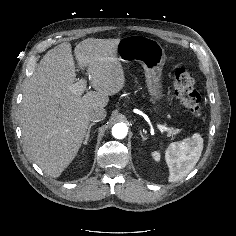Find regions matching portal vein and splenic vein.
<instances>
[{
    "instance_id": "obj_1",
    "label": "portal vein and splenic vein",
    "mask_w": 236,
    "mask_h": 236,
    "mask_svg": "<svg viewBox=\"0 0 236 236\" xmlns=\"http://www.w3.org/2000/svg\"><path fill=\"white\" fill-rule=\"evenodd\" d=\"M72 92L76 95H82V93L84 92V90L86 89V81L84 79H81L79 82L75 83L74 85H72L71 87ZM158 129L161 132L167 131V132H172V130L164 125H157Z\"/></svg>"
}]
</instances>
